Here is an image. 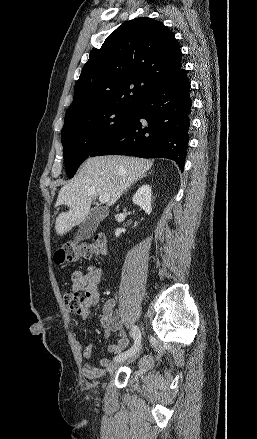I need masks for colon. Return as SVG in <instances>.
<instances>
[{
  "instance_id": "5ec220e1",
  "label": "colon",
  "mask_w": 257,
  "mask_h": 439,
  "mask_svg": "<svg viewBox=\"0 0 257 439\" xmlns=\"http://www.w3.org/2000/svg\"><path fill=\"white\" fill-rule=\"evenodd\" d=\"M106 252L105 236L99 234L93 242H83L80 244H67L62 246L54 255L55 262L58 264L73 263L81 258H92ZM85 295L82 291H68L64 295L65 306L74 313H81L85 306ZM152 363V358L144 361L143 366Z\"/></svg>"
}]
</instances>
